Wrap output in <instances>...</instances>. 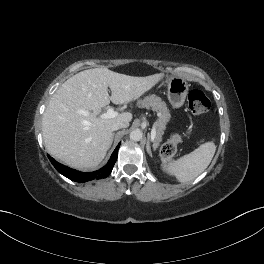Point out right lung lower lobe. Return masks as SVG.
Instances as JSON below:
<instances>
[{
	"instance_id": "obj_1",
	"label": "right lung lower lobe",
	"mask_w": 264,
	"mask_h": 264,
	"mask_svg": "<svg viewBox=\"0 0 264 264\" xmlns=\"http://www.w3.org/2000/svg\"><path fill=\"white\" fill-rule=\"evenodd\" d=\"M119 146H120V143L116 147V149L114 150V152H113L110 160L106 164V166H104L100 170L94 171V172L76 171L74 169H71L69 167H66V166L58 163L50 155H47V156H48L49 160L51 161V163L53 164V166L56 168V170L59 173H61L62 175H64L65 177L69 178L72 181H76V182H87V181H90L93 179L106 178L107 176L110 175V173L113 169V166L117 160Z\"/></svg>"
}]
</instances>
